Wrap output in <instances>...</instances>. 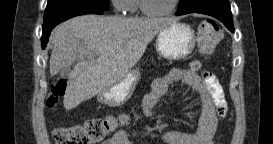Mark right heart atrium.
Segmentation results:
<instances>
[{"mask_svg":"<svg viewBox=\"0 0 273 144\" xmlns=\"http://www.w3.org/2000/svg\"><path fill=\"white\" fill-rule=\"evenodd\" d=\"M130 0H111V4L116 12H128V3Z\"/></svg>","mask_w":273,"mask_h":144,"instance_id":"1","label":"right heart atrium"}]
</instances>
